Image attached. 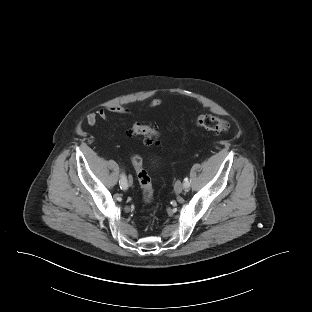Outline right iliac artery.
I'll list each match as a JSON object with an SVG mask.
<instances>
[{"label":"right iliac artery","instance_id":"82829eb1","mask_svg":"<svg viewBox=\"0 0 312 312\" xmlns=\"http://www.w3.org/2000/svg\"><path fill=\"white\" fill-rule=\"evenodd\" d=\"M119 184H120V188L123 190L127 189L128 187L126 176L123 173L120 175Z\"/></svg>","mask_w":312,"mask_h":312}]
</instances>
